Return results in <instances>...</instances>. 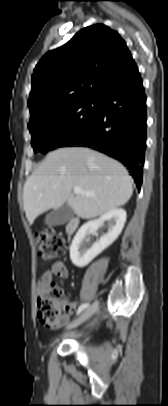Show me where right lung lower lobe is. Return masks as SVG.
<instances>
[{"label":"right lung lower lobe","instance_id":"right-lung-lower-lobe-1","mask_svg":"<svg viewBox=\"0 0 168 406\" xmlns=\"http://www.w3.org/2000/svg\"><path fill=\"white\" fill-rule=\"evenodd\" d=\"M92 123L63 147L78 145L100 151L128 167L140 190L146 148V96L140 74L97 98Z\"/></svg>","mask_w":168,"mask_h":406}]
</instances>
